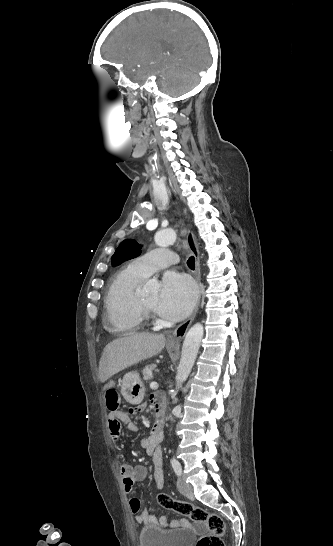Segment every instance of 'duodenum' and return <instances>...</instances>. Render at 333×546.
<instances>
[{
	"mask_svg": "<svg viewBox=\"0 0 333 546\" xmlns=\"http://www.w3.org/2000/svg\"><path fill=\"white\" fill-rule=\"evenodd\" d=\"M163 429H164L163 417L162 416H157L155 424H154V428H153L154 435L157 436V437H162Z\"/></svg>",
	"mask_w": 333,
	"mask_h": 546,
	"instance_id": "duodenum-1",
	"label": "duodenum"
}]
</instances>
